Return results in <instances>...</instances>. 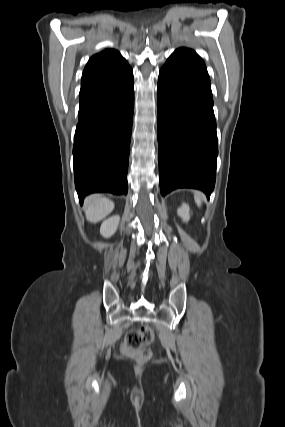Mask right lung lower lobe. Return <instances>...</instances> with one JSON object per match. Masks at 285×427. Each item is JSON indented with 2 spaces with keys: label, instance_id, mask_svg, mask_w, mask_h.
<instances>
[{
  "label": "right lung lower lobe",
  "instance_id": "1",
  "mask_svg": "<svg viewBox=\"0 0 285 427\" xmlns=\"http://www.w3.org/2000/svg\"><path fill=\"white\" fill-rule=\"evenodd\" d=\"M79 100L73 167L80 203L94 192L126 195L134 111L131 67L81 89Z\"/></svg>",
  "mask_w": 285,
  "mask_h": 427
}]
</instances>
